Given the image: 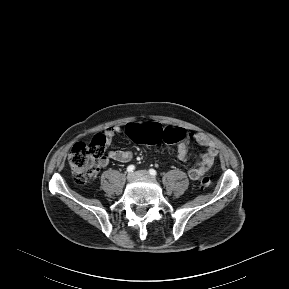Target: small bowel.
Returning a JSON list of instances; mask_svg holds the SVG:
<instances>
[{
    "label": "small bowel",
    "instance_id": "1",
    "mask_svg": "<svg viewBox=\"0 0 289 289\" xmlns=\"http://www.w3.org/2000/svg\"><path fill=\"white\" fill-rule=\"evenodd\" d=\"M121 132L120 126H114L106 129L102 134L107 145H110L114 136ZM194 140L201 146L205 147V152L201 155V160L196 167L189 170V178L193 181L198 180L202 175L207 173L218 155V149L215 143L206 135L198 133L192 135ZM188 156L187 141L183 140L177 145V157L181 161H185ZM132 152L128 150H111L107 157L104 158L101 165H106L108 160L127 163L132 160Z\"/></svg>",
    "mask_w": 289,
    "mask_h": 289
}]
</instances>
